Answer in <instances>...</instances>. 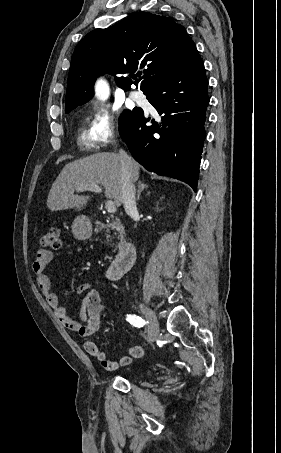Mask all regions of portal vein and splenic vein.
Segmentation results:
<instances>
[{
    "mask_svg": "<svg viewBox=\"0 0 281 453\" xmlns=\"http://www.w3.org/2000/svg\"><path fill=\"white\" fill-rule=\"evenodd\" d=\"M76 190H92V192H102V188H100L99 184H84V186H78ZM105 208L108 212H116L117 208L113 202V200H107L105 202Z\"/></svg>",
    "mask_w": 281,
    "mask_h": 453,
    "instance_id": "portal-vein-and-splenic-vein-1",
    "label": "portal vein and splenic vein"
}]
</instances>
